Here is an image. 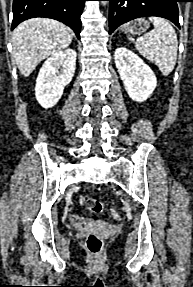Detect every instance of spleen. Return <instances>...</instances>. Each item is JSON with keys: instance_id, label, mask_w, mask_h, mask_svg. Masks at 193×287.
I'll return each instance as SVG.
<instances>
[{"instance_id": "obj_1", "label": "spleen", "mask_w": 193, "mask_h": 287, "mask_svg": "<svg viewBox=\"0 0 193 287\" xmlns=\"http://www.w3.org/2000/svg\"><path fill=\"white\" fill-rule=\"evenodd\" d=\"M154 29L136 40L138 52L155 63L161 73L168 76L174 69L177 60V34L172 25L160 17H151Z\"/></svg>"}]
</instances>
